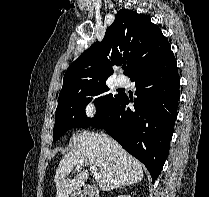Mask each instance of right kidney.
I'll list each match as a JSON object with an SVG mask.
<instances>
[{
  "instance_id": "ca27d5eb",
  "label": "right kidney",
  "mask_w": 209,
  "mask_h": 197,
  "mask_svg": "<svg viewBox=\"0 0 209 197\" xmlns=\"http://www.w3.org/2000/svg\"><path fill=\"white\" fill-rule=\"evenodd\" d=\"M118 197H131L130 195H119Z\"/></svg>"
}]
</instances>
